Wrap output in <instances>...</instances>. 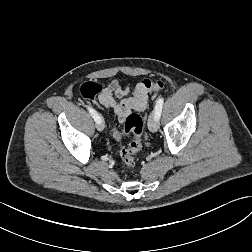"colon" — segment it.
<instances>
[{"label": "colon", "mask_w": 252, "mask_h": 252, "mask_svg": "<svg viewBox=\"0 0 252 252\" xmlns=\"http://www.w3.org/2000/svg\"><path fill=\"white\" fill-rule=\"evenodd\" d=\"M142 85L147 91H158L164 88V82L161 80H151L145 79L142 82ZM101 86L96 82H85L81 86V94L83 97L89 100H98L101 93ZM143 133V121L142 118L137 114H130L125 122L123 129H113V136L116 139H121L127 134H133V140L130 144L124 147L121 152V159L126 168L132 169L136 165L135 155L141 149V137Z\"/></svg>", "instance_id": "5ec220e1"}]
</instances>
